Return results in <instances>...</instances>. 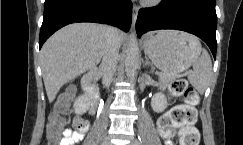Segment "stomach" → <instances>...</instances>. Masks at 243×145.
Masks as SVG:
<instances>
[{
	"mask_svg": "<svg viewBox=\"0 0 243 145\" xmlns=\"http://www.w3.org/2000/svg\"><path fill=\"white\" fill-rule=\"evenodd\" d=\"M143 46L153 64L166 74L185 71L201 53L196 37L174 30H162L148 36Z\"/></svg>",
	"mask_w": 243,
	"mask_h": 145,
	"instance_id": "1",
	"label": "stomach"
}]
</instances>
